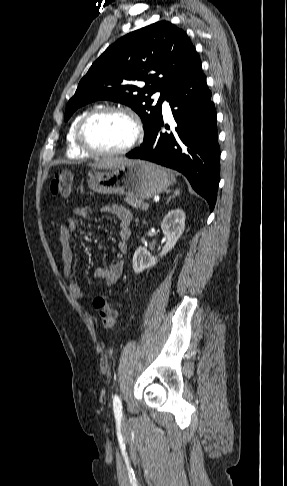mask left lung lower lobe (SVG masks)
Returning <instances> with one entry per match:
<instances>
[{
  "label": "left lung lower lobe",
  "mask_w": 287,
  "mask_h": 486,
  "mask_svg": "<svg viewBox=\"0 0 287 486\" xmlns=\"http://www.w3.org/2000/svg\"><path fill=\"white\" fill-rule=\"evenodd\" d=\"M164 99L170 104L177 127L162 132L161 116L145 133L141 147L126 156L181 172L193 189L207 200L212 211L219 185L220 148L216 110L200 59L168 88Z\"/></svg>",
  "instance_id": "0a47b994"
}]
</instances>
